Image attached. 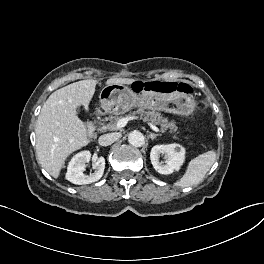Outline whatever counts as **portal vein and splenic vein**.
Listing matches in <instances>:
<instances>
[{"instance_id": "obj_1", "label": "portal vein and splenic vein", "mask_w": 264, "mask_h": 264, "mask_svg": "<svg viewBox=\"0 0 264 264\" xmlns=\"http://www.w3.org/2000/svg\"><path fill=\"white\" fill-rule=\"evenodd\" d=\"M135 118L136 117H134V116H132V117L130 116V117H125V118L119 119L118 122H117V124H116L117 129H121V128L125 127L127 125V123H128L129 120H132V119H135ZM148 125L155 132H159V129L156 126H154L153 124L148 123Z\"/></svg>"}]
</instances>
